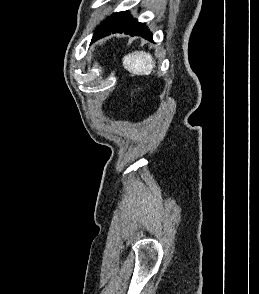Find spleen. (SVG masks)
Instances as JSON below:
<instances>
[{
  "mask_svg": "<svg viewBox=\"0 0 259 294\" xmlns=\"http://www.w3.org/2000/svg\"><path fill=\"white\" fill-rule=\"evenodd\" d=\"M123 67L133 75H149L155 68L150 53L135 51L123 57Z\"/></svg>",
  "mask_w": 259,
  "mask_h": 294,
  "instance_id": "spleen-1",
  "label": "spleen"
}]
</instances>
